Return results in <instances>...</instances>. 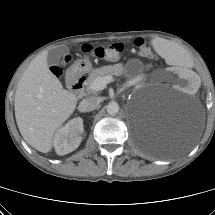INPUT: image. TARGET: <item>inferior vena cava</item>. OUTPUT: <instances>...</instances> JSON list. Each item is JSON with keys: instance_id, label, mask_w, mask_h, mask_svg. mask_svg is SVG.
<instances>
[{"instance_id": "1", "label": "inferior vena cava", "mask_w": 215, "mask_h": 215, "mask_svg": "<svg viewBox=\"0 0 215 215\" xmlns=\"http://www.w3.org/2000/svg\"><path fill=\"white\" fill-rule=\"evenodd\" d=\"M100 98L98 97H88L83 99L79 104V110L82 112H90L95 110V108L99 105Z\"/></svg>"}]
</instances>
